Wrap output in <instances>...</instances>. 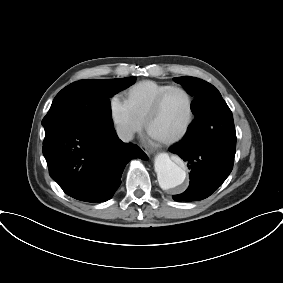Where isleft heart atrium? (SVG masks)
Segmentation results:
<instances>
[{
    "instance_id": "obj_1",
    "label": "left heart atrium",
    "mask_w": 283,
    "mask_h": 283,
    "mask_svg": "<svg viewBox=\"0 0 283 283\" xmlns=\"http://www.w3.org/2000/svg\"><path fill=\"white\" fill-rule=\"evenodd\" d=\"M150 136H151L153 139H157L156 137L152 136L151 134H150Z\"/></svg>"
}]
</instances>
